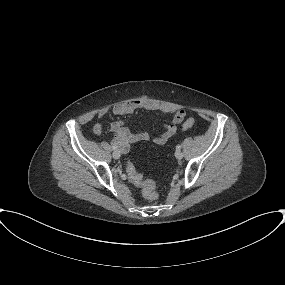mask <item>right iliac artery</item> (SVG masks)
Listing matches in <instances>:
<instances>
[{
  "label": "right iliac artery",
  "instance_id": "82829eb1",
  "mask_svg": "<svg viewBox=\"0 0 285 285\" xmlns=\"http://www.w3.org/2000/svg\"><path fill=\"white\" fill-rule=\"evenodd\" d=\"M112 149L113 150H117V146H112Z\"/></svg>",
  "mask_w": 285,
  "mask_h": 285
}]
</instances>
